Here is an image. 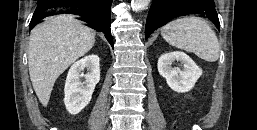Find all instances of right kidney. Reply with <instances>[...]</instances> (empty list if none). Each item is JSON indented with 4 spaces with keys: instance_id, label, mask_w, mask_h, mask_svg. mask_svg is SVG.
I'll list each match as a JSON object with an SVG mask.
<instances>
[{
    "instance_id": "1",
    "label": "right kidney",
    "mask_w": 257,
    "mask_h": 130,
    "mask_svg": "<svg viewBox=\"0 0 257 130\" xmlns=\"http://www.w3.org/2000/svg\"><path fill=\"white\" fill-rule=\"evenodd\" d=\"M99 57L95 54L85 56L69 69L64 87V104L70 114H78L91 101L96 84L100 81ZM87 73L83 74L84 69ZM85 81L82 82L81 78Z\"/></svg>"
}]
</instances>
